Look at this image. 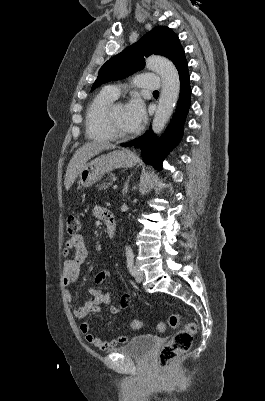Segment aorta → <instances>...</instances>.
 <instances>
[{"label":"aorta","mask_w":265,"mask_h":401,"mask_svg":"<svg viewBox=\"0 0 265 401\" xmlns=\"http://www.w3.org/2000/svg\"><path fill=\"white\" fill-rule=\"evenodd\" d=\"M146 64L150 70L157 72L162 80L159 102L152 124L154 132L158 134L165 128L178 100L180 92L179 74L175 64L164 56H155V54L148 56ZM125 255H133L131 247H125Z\"/></svg>","instance_id":"aorta-1"}]
</instances>
